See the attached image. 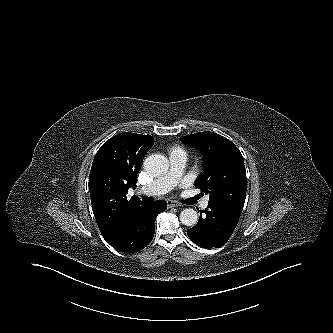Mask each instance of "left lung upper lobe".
<instances>
[{
  "label": "left lung upper lobe",
  "mask_w": 333,
  "mask_h": 333,
  "mask_svg": "<svg viewBox=\"0 0 333 333\" xmlns=\"http://www.w3.org/2000/svg\"><path fill=\"white\" fill-rule=\"evenodd\" d=\"M183 143L200 149L204 172L195 187L209 194V202L241 215L246 197V170L239 149L227 138L213 132L182 136Z\"/></svg>",
  "instance_id": "5c2ea615"
}]
</instances>
